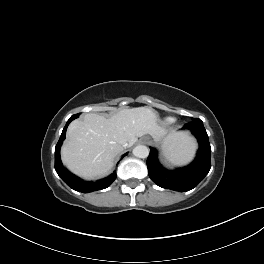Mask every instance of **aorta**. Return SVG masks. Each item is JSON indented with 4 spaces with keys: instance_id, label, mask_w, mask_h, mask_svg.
<instances>
[{
    "instance_id": "762f6f07",
    "label": "aorta",
    "mask_w": 264,
    "mask_h": 264,
    "mask_svg": "<svg viewBox=\"0 0 264 264\" xmlns=\"http://www.w3.org/2000/svg\"><path fill=\"white\" fill-rule=\"evenodd\" d=\"M133 155L138 158H146L149 155V149L144 145H138L133 149Z\"/></svg>"
}]
</instances>
